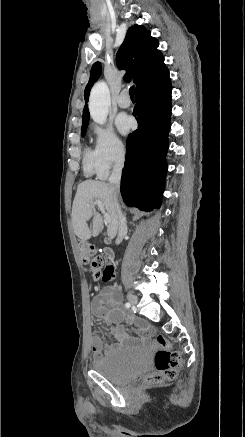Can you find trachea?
Masks as SVG:
<instances>
[{"instance_id": "obj_1", "label": "trachea", "mask_w": 245, "mask_h": 437, "mask_svg": "<svg viewBox=\"0 0 245 437\" xmlns=\"http://www.w3.org/2000/svg\"><path fill=\"white\" fill-rule=\"evenodd\" d=\"M134 94H135V87L132 86V87L129 89V95H130V98H134Z\"/></svg>"}]
</instances>
